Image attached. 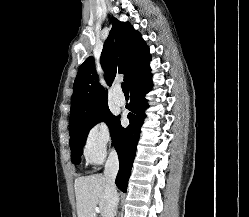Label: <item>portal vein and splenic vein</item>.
<instances>
[{
  "instance_id": "1",
  "label": "portal vein and splenic vein",
  "mask_w": 249,
  "mask_h": 217,
  "mask_svg": "<svg viewBox=\"0 0 249 217\" xmlns=\"http://www.w3.org/2000/svg\"><path fill=\"white\" fill-rule=\"evenodd\" d=\"M95 212L100 213V209L98 207H96Z\"/></svg>"
}]
</instances>
